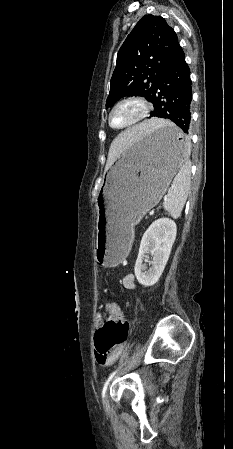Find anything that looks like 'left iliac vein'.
Here are the masks:
<instances>
[{"instance_id": "4c4485c4", "label": "left iliac vein", "mask_w": 233, "mask_h": 449, "mask_svg": "<svg viewBox=\"0 0 233 449\" xmlns=\"http://www.w3.org/2000/svg\"><path fill=\"white\" fill-rule=\"evenodd\" d=\"M104 406L107 409L109 407V401L107 395L104 397Z\"/></svg>"}]
</instances>
